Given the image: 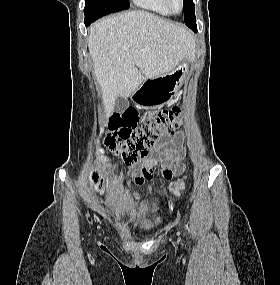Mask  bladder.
<instances>
[{
	"mask_svg": "<svg viewBox=\"0 0 280 285\" xmlns=\"http://www.w3.org/2000/svg\"><path fill=\"white\" fill-rule=\"evenodd\" d=\"M119 222L135 234L153 235L162 225V215L152 208L129 207L119 215Z\"/></svg>",
	"mask_w": 280,
	"mask_h": 285,
	"instance_id": "obj_1",
	"label": "bladder"
}]
</instances>
